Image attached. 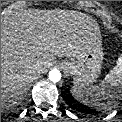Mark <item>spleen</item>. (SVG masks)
Returning a JSON list of instances; mask_svg holds the SVG:
<instances>
[{
  "label": "spleen",
  "mask_w": 122,
  "mask_h": 122,
  "mask_svg": "<svg viewBox=\"0 0 122 122\" xmlns=\"http://www.w3.org/2000/svg\"><path fill=\"white\" fill-rule=\"evenodd\" d=\"M119 87H122V55L118 58L116 66L106 75L100 86H93L85 90L73 86L71 93L85 105L104 109L108 107L110 102L108 101L107 104L102 103V99L115 97L117 92H114L111 88Z\"/></svg>",
  "instance_id": "3e777b00"
}]
</instances>
